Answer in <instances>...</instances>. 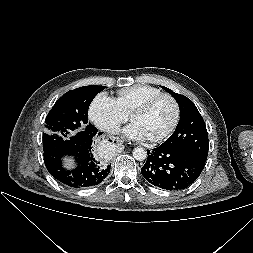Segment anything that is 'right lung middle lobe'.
Listing matches in <instances>:
<instances>
[{
    "mask_svg": "<svg viewBox=\"0 0 253 253\" xmlns=\"http://www.w3.org/2000/svg\"><path fill=\"white\" fill-rule=\"evenodd\" d=\"M104 86H83L66 92L54 104L45 120L43 140L46 143L68 140L93 126L88 123V109Z\"/></svg>",
    "mask_w": 253,
    "mask_h": 253,
    "instance_id": "dd1d6c3e",
    "label": "right lung middle lobe"
}]
</instances>
